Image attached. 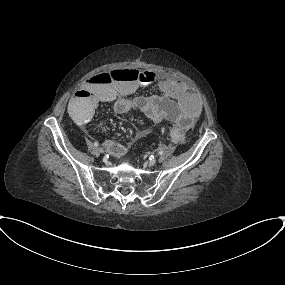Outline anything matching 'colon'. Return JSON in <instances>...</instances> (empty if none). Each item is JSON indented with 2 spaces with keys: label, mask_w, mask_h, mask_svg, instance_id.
<instances>
[{
  "label": "colon",
  "mask_w": 285,
  "mask_h": 285,
  "mask_svg": "<svg viewBox=\"0 0 285 285\" xmlns=\"http://www.w3.org/2000/svg\"><path fill=\"white\" fill-rule=\"evenodd\" d=\"M105 83H110V79L106 78L105 75L101 76ZM114 77L117 79H122L128 82H137L138 80L150 81L153 80L154 75L152 73H146L145 76L138 70L127 69L124 71H118L114 73Z\"/></svg>",
  "instance_id": "5ec220e1"
}]
</instances>
